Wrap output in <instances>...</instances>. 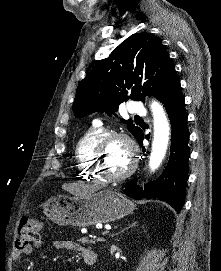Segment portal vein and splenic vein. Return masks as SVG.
Masks as SVG:
<instances>
[{
    "instance_id": "1",
    "label": "portal vein and splenic vein",
    "mask_w": 221,
    "mask_h": 271,
    "mask_svg": "<svg viewBox=\"0 0 221 271\" xmlns=\"http://www.w3.org/2000/svg\"><path fill=\"white\" fill-rule=\"evenodd\" d=\"M105 237L102 235L101 237H96L94 240L96 242H102V240L104 239Z\"/></svg>"
}]
</instances>
